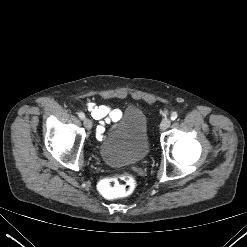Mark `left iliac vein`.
I'll list each match as a JSON object with an SVG mask.
<instances>
[{
	"mask_svg": "<svg viewBox=\"0 0 247 247\" xmlns=\"http://www.w3.org/2000/svg\"><path fill=\"white\" fill-rule=\"evenodd\" d=\"M171 124V120L169 118H165L162 120L161 124H160V130L164 131L166 130Z\"/></svg>",
	"mask_w": 247,
	"mask_h": 247,
	"instance_id": "4c4485c4",
	"label": "left iliac vein"
}]
</instances>
